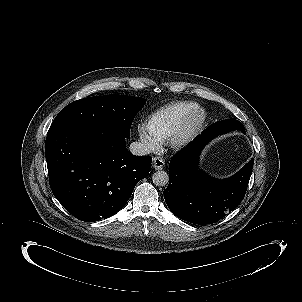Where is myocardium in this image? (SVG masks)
<instances>
[{"label":"myocardium","mask_w":302,"mask_h":302,"mask_svg":"<svg viewBox=\"0 0 302 302\" xmlns=\"http://www.w3.org/2000/svg\"><path fill=\"white\" fill-rule=\"evenodd\" d=\"M206 121L207 113L203 108L191 112L168 137L167 145L176 151L185 148L203 129Z\"/></svg>","instance_id":"1"}]
</instances>
